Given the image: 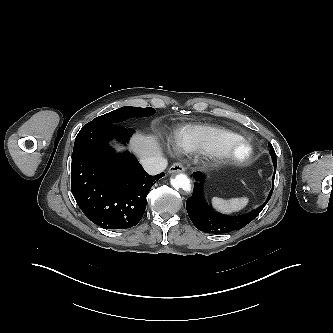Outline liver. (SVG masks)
Wrapping results in <instances>:
<instances>
[{
	"mask_svg": "<svg viewBox=\"0 0 333 333\" xmlns=\"http://www.w3.org/2000/svg\"><path fill=\"white\" fill-rule=\"evenodd\" d=\"M132 151L140 158L159 156L161 148L154 136L136 135L131 140Z\"/></svg>",
	"mask_w": 333,
	"mask_h": 333,
	"instance_id": "obj_1",
	"label": "liver"
}]
</instances>
